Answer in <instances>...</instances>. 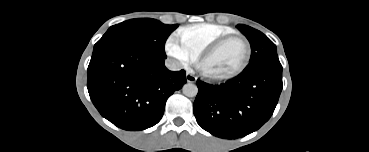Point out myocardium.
<instances>
[{
  "label": "myocardium",
  "instance_id": "1",
  "mask_svg": "<svg viewBox=\"0 0 369 152\" xmlns=\"http://www.w3.org/2000/svg\"><path fill=\"white\" fill-rule=\"evenodd\" d=\"M233 39H240L243 41L245 48H246V53H245V57L243 62L241 63V65L233 72L226 74V75H216V74H212L208 71H206L204 69V62L211 57L214 53H216L224 44H226L228 41L233 40ZM250 58H251V45L250 42L248 41V39L238 33H233V34H229L226 36H223L219 39H217L216 41H214L213 43H211L209 46H207L203 52L200 54L198 62H197V68L199 70V72L207 79L214 81V82H225V81H229L232 80L234 78H236L237 76H239L248 66L249 62H250Z\"/></svg>",
  "mask_w": 369,
  "mask_h": 152
}]
</instances>
